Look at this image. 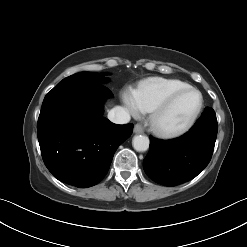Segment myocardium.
<instances>
[{
    "mask_svg": "<svg viewBox=\"0 0 247 247\" xmlns=\"http://www.w3.org/2000/svg\"><path fill=\"white\" fill-rule=\"evenodd\" d=\"M194 92L199 95V104L194 111V113L190 116V118L180 127L169 129L164 128L160 124V119L163 116V114L172 106V104L182 95ZM204 107V97L201 91L194 87H188L185 89H181L179 91H176L172 93L170 96H168L164 101H162L160 104H158L152 111L150 115V126L153 129V131L158 134L161 137L164 138H175L178 136H181L185 133H187L197 122L202 110Z\"/></svg>",
    "mask_w": 247,
    "mask_h": 247,
    "instance_id": "1",
    "label": "myocardium"
}]
</instances>
